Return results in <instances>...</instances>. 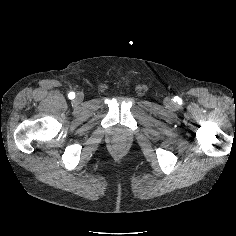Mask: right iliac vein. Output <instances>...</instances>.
I'll return each mask as SVG.
<instances>
[{"label": "right iliac vein", "mask_w": 236, "mask_h": 236, "mask_svg": "<svg viewBox=\"0 0 236 236\" xmlns=\"http://www.w3.org/2000/svg\"><path fill=\"white\" fill-rule=\"evenodd\" d=\"M82 100H83L82 94H78V95L76 96V101H77V102H81Z\"/></svg>", "instance_id": "1"}]
</instances>
